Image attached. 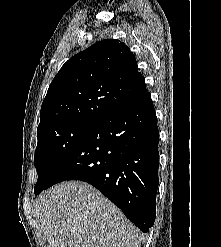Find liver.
Returning <instances> with one entry per match:
<instances>
[{"instance_id": "liver-1", "label": "liver", "mask_w": 221, "mask_h": 247, "mask_svg": "<svg viewBox=\"0 0 221 247\" xmlns=\"http://www.w3.org/2000/svg\"><path fill=\"white\" fill-rule=\"evenodd\" d=\"M42 247H140L136 227L93 186L66 181L36 201Z\"/></svg>"}]
</instances>
